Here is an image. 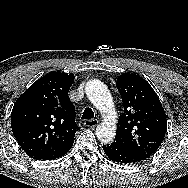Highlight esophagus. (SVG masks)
<instances>
[{
	"instance_id": "1",
	"label": "esophagus",
	"mask_w": 188,
	"mask_h": 188,
	"mask_svg": "<svg viewBox=\"0 0 188 188\" xmlns=\"http://www.w3.org/2000/svg\"><path fill=\"white\" fill-rule=\"evenodd\" d=\"M99 121L97 119H87L84 121L86 127L92 128L98 125Z\"/></svg>"
}]
</instances>
